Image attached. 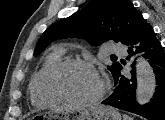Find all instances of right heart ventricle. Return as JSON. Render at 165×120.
<instances>
[{"label":"right heart ventricle","instance_id":"right-heart-ventricle-1","mask_svg":"<svg viewBox=\"0 0 165 120\" xmlns=\"http://www.w3.org/2000/svg\"><path fill=\"white\" fill-rule=\"evenodd\" d=\"M63 60L62 53L54 51L49 53L42 62L39 70L34 74L29 86L30 99L36 107H50L60 101L55 98L48 88V78L55 66Z\"/></svg>","mask_w":165,"mask_h":120}]
</instances>
